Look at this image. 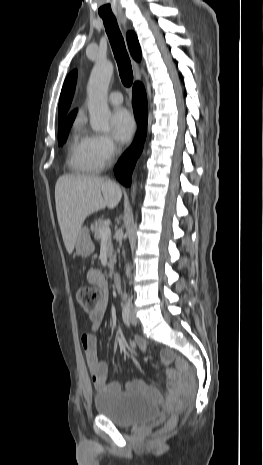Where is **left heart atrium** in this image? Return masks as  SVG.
<instances>
[{
    "instance_id": "obj_1",
    "label": "left heart atrium",
    "mask_w": 263,
    "mask_h": 465,
    "mask_svg": "<svg viewBox=\"0 0 263 465\" xmlns=\"http://www.w3.org/2000/svg\"><path fill=\"white\" fill-rule=\"evenodd\" d=\"M112 131L115 138L121 142L130 139L134 131V120L131 113L125 108H117L110 117Z\"/></svg>"
}]
</instances>
